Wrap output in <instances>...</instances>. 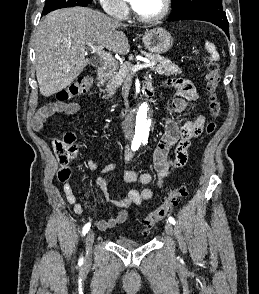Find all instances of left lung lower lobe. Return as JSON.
<instances>
[{"label":"left lung lower lobe","instance_id":"0a47b994","mask_svg":"<svg viewBox=\"0 0 259 294\" xmlns=\"http://www.w3.org/2000/svg\"><path fill=\"white\" fill-rule=\"evenodd\" d=\"M179 20H203L211 22L220 27L223 31H225V33L229 37V23L223 10L205 8L190 12L188 14L170 17L168 21Z\"/></svg>","mask_w":259,"mask_h":294}]
</instances>
